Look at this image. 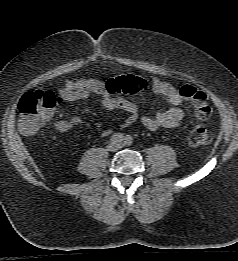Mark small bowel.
Returning a JSON list of instances; mask_svg holds the SVG:
<instances>
[{"mask_svg": "<svg viewBox=\"0 0 238 261\" xmlns=\"http://www.w3.org/2000/svg\"><path fill=\"white\" fill-rule=\"evenodd\" d=\"M152 90L156 95L162 96L168 108L156 112L154 116H141L138 105L122 96H114L105 89V83L98 79L86 78L77 81H66L55 94L60 101L76 102L84 100L91 95L99 96V105L106 110H119L127 113L122 121L123 128L129 127L140 121L147 129L155 130L160 127L174 128L184 120V111L181 108L184 98L180 92L171 84L156 77L151 78ZM51 111L47 121L51 120ZM54 126L60 131H68L75 128L87 127V123L78 117L72 116L65 120H55ZM111 131L105 130L104 134Z\"/></svg>", "mask_w": 238, "mask_h": 261, "instance_id": "obj_1", "label": "small bowel"}]
</instances>
